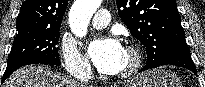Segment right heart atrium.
<instances>
[{"instance_id":"right-heart-atrium-1","label":"right heart atrium","mask_w":205,"mask_h":87,"mask_svg":"<svg viewBox=\"0 0 205 87\" xmlns=\"http://www.w3.org/2000/svg\"><path fill=\"white\" fill-rule=\"evenodd\" d=\"M62 62L67 73L74 78L90 77L92 69L88 59L80 52L75 41L63 38L60 46Z\"/></svg>"}]
</instances>
